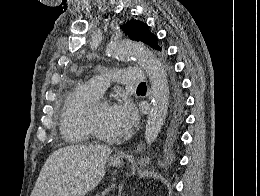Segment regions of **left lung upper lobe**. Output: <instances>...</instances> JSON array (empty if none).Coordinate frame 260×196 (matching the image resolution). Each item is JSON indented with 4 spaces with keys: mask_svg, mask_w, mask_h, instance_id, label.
Wrapping results in <instances>:
<instances>
[{
    "mask_svg": "<svg viewBox=\"0 0 260 196\" xmlns=\"http://www.w3.org/2000/svg\"><path fill=\"white\" fill-rule=\"evenodd\" d=\"M122 30L131 40L142 41L153 49L160 51L163 56L165 55V49L158 44L156 36L150 32L146 23L131 20L123 25ZM166 71L168 75L167 109L157 146L160 149L168 150L179 141L180 127L184 119V98L180 82L174 75L171 64L166 63Z\"/></svg>",
    "mask_w": 260,
    "mask_h": 196,
    "instance_id": "5c2ea615",
    "label": "left lung upper lobe"
}]
</instances>
